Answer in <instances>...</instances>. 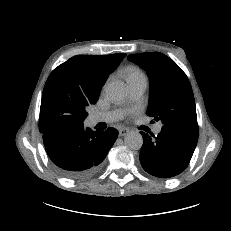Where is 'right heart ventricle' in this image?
<instances>
[{
    "instance_id": "right-heart-ventricle-1",
    "label": "right heart ventricle",
    "mask_w": 231,
    "mask_h": 231,
    "mask_svg": "<svg viewBox=\"0 0 231 231\" xmlns=\"http://www.w3.org/2000/svg\"><path fill=\"white\" fill-rule=\"evenodd\" d=\"M123 77L126 79L128 85L146 82V76L142 70L137 67H127L122 71Z\"/></svg>"
}]
</instances>
